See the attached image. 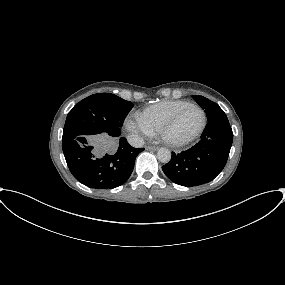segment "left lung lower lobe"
Returning <instances> with one entry per match:
<instances>
[{"instance_id": "obj_1", "label": "left lung lower lobe", "mask_w": 285, "mask_h": 285, "mask_svg": "<svg viewBox=\"0 0 285 285\" xmlns=\"http://www.w3.org/2000/svg\"><path fill=\"white\" fill-rule=\"evenodd\" d=\"M233 141V132L226 116L208 120L201 140L179 154L172 153L162 167L174 183L186 187L212 181L224 168Z\"/></svg>"}]
</instances>
